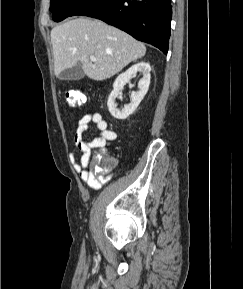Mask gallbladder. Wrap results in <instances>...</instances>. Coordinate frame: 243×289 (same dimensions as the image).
I'll return each instance as SVG.
<instances>
[{
	"label": "gallbladder",
	"mask_w": 243,
	"mask_h": 289,
	"mask_svg": "<svg viewBox=\"0 0 243 289\" xmlns=\"http://www.w3.org/2000/svg\"><path fill=\"white\" fill-rule=\"evenodd\" d=\"M85 73L83 71V69L79 66H74V67H70L65 69L64 71H62L59 74V79L61 81H77V80H81L82 78H84Z\"/></svg>",
	"instance_id": "bac80fb5"
}]
</instances>
